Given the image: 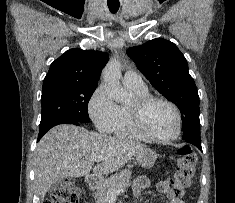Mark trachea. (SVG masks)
<instances>
[{"mask_svg":"<svg viewBox=\"0 0 235 203\" xmlns=\"http://www.w3.org/2000/svg\"><path fill=\"white\" fill-rule=\"evenodd\" d=\"M119 6L120 4H115V5H111L109 4L108 7H109V10L112 12V13H116L119 9Z\"/></svg>","mask_w":235,"mask_h":203,"instance_id":"trachea-1","label":"trachea"}]
</instances>
